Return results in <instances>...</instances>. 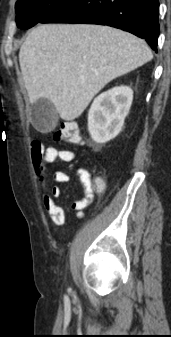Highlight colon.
<instances>
[{"instance_id": "1", "label": "colon", "mask_w": 171, "mask_h": 337, "mask_svg": "<svg viewBox=\"0 0 171 337\" xmlns=\"http://www.w3.org/2000/svg\"><path fill=\"white\" fill-rule=\"evenodd\" d=\"M52 139L55 142H65L74 145L82 143L81 133L74 122H66L61 128L52 133ZM93 187L98 193H102L105 187L102 179L93 181Z\"/></svg>"}]
</instances>
